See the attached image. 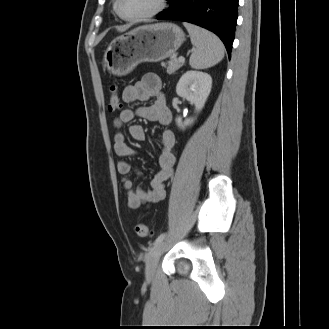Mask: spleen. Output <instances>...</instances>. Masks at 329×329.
I'll return each instance as SVG.
<instances>
[{
    "instance_id": "spleen-1",
    "label": "spleen",
    "mask_w": 329,
    "mask_h": 329,
    "mask_svg": "<svg viewBox=\"0 0 329 329\" xmlns=\"http://www.w3.org/2000/svg\"><path fill=\"white\" fill-rule=\"evenodd\" d=\"M187 29L194 52L189 64L194 69H206L219 63L224 58V45L213 33L190 23H183Z\"/></svg>"
}]
</instances>
